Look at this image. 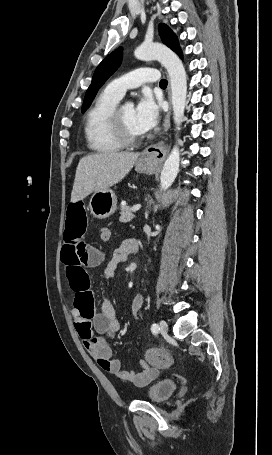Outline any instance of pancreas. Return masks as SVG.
Here are the masks:
<instances>
[{
    "instance_id": "obj_1",
    "label": "pancreas",
    "mask_w": 272,
    "mask_h": 455,
    "mask_svg": "<svg viewBox=\"0 0 272 455\" xmlns=\"http://www.w3.org/2000/svg\"><path fill=\"white\" fill-rule=\"evenodd\" d=\"M120 218L119 221L122 223L130 222L134 218V214L132 212V207L123 205L120 209Z\"/></svg>"
}]
</instances>
